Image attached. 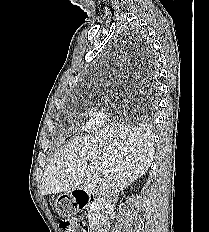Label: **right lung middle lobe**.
Returning <instances> with one entry per match:
<instances>
[{
    "label": "right lung middle lobe",
    "instance_id": "right-lung-middle-lobe-1",
    "mask_svg": "<svg viewBox=\"0 0 209 232\" xmlns=\"http://www.w3.org/2000/svg\"><path fill=\"white\" fill-rule=\"evenodd\" d=\"M154 73L152 72V79H153ZM147 112H146V123L151 127L153 125L154 120V107L156 104V89L152 87V91L150 96L147 99Z\"/></svg>",
    "mask_w": 209,
    "mask_h": 232
}]
</instances>
